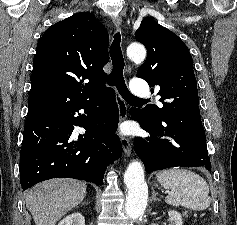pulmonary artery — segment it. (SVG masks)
I'll return each instance as SVG.
<instances>
[{"instance_id":"1","label":"pulmonary artery","mask_w":237,"mask_h":225,"mask_svg":"<svg viewBox=\"0 0 237 225\" xmlns=\"http://www.w3.org/2000/svg\"><path fill=\"white\" fill-rule=\"evenodd\" d=\"M131 91L133 94L140 97H147L149 95V87L138 78L132 80Z\"/></svg>"}]
</instances>
